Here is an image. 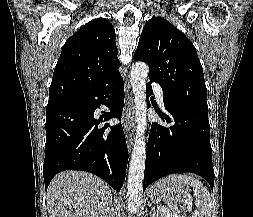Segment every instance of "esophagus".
<instances>
[{
  "label": "esophagus",
  "instance_id": "1",
  "mask_svg": "<svg viewBox=\"0 0 253 217\" xmlns=\"http://www.w3.org/2000/svg\"><path fill=\"white\" fill-rule=\"evenodd\" d=\"M122 119L128 143V148L129 150H131L134 137V120H135V110L132 98H130V101L127 103V105L123 110Z\"/></svg>",
  "mask_w": 253,
  "mask_h": 217
}]
</instances>
